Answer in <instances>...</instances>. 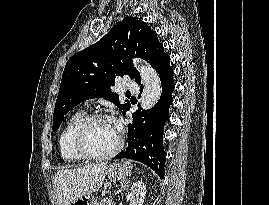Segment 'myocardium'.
I'll return each instance as SVG.
<instances>
[{
	"mask_svg": "<svg viewBox=\"0 0 269 205\" xmlns=\"http://www.w3.org/2000/svg\"><path fill=\"white\" fill-rule=\"evenodd\" d=\"M100 120H110V117L103 113H95L87 116L85 120L78 126L73 137V145L76 152L84 159L89 160H104L109 159L117 155L123 147L124 138L123 135L118 132V141L115 147L107 153L95 154L90 152L85 144V138L89 128Z\"/></svg>",
	"mask_w": 269,
	"mask_h": 205,
	"instance_id": "obj_1",
	"label": "myocardium"
}]
</instances>
